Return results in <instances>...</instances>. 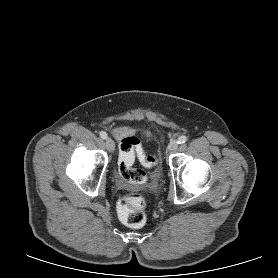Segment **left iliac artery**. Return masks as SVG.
Segmentation results:
<instances>
[{
	"label": "left iliac artery",
	"mask_w": 278,
	"mask_h": 278,
	"mask_svg": "<svg viewBox=\"0 0 278 278\" xmlns=\"http://www.w3.org/2000/svg\"><path fill=\"white\" fill-rule=\"evenodd\" d=\"M187 141V137L186 136H180L178 138V144H183Z\"/></svg>",
	"instance_id": "1"
}]
</instances>
